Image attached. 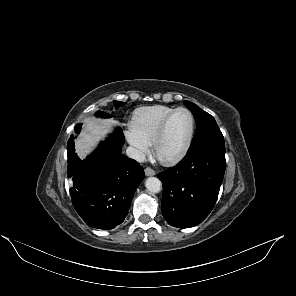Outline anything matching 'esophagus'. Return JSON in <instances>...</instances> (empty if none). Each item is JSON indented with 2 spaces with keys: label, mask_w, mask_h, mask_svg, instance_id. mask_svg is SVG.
Here are the masks:
<instances>
[{
  "label": "esophagus",
  "mask_w": 296,
  "mask_h": 296,
  "mask_svg": "<svg viewBox=\"0 0 296 296\" xmlns=\"http://www.w3.org/2000/svg\"><path fill=\"white\" fill-rule=\"evenodd\" d=\"M144 172L146 176H154L156 174L155 171L150 167L145 168Z\"/></svg>",
  "instance_id": "34e87169"
}]
</instances>
